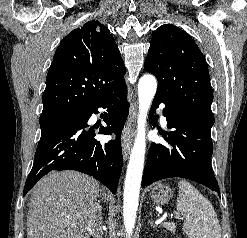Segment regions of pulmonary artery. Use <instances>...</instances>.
Wrapping results in <instances>:
<instances>
[{
  "label": "pulmonary artery",
  "mask_w": 247,
  "mask_h": 238,
  "mask_svg": "<svg viewBox=\"0 0 247 238\" xmlns=\"http://www.w3.org/2000/svg\"><path fill=\"white\" fill-rule=\"evenodd\" d=\"M161 122L163 125H166L167 124V120L165 118V116L163 114H161Z\"/></svg>",
  "instance_id": "obj_1"
}]
</instances>
